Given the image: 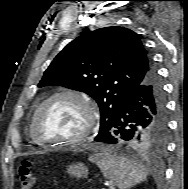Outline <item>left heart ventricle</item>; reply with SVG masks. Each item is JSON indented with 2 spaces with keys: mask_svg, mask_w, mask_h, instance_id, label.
Segmentation results:
<instances>
[{
  "mask_svg": "<svg viewBox=\"0 0 188 189\" xmlns=\"http://www.w3.org/2000/svg\"><path fill=\"white\" fill-rule=\"evenodd\" d=\"M87 113L73 98H59L45 109L38 124L39 137L46 141L73 138L81 133Z\"/></svg>",
  "mask_w": 188,
  "mask_h": 189,
  "instance_id": "left-heart-ventricle-1",
  "label": "left heart ventricle"
}]
</instances>
